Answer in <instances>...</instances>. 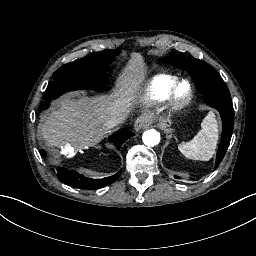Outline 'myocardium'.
Here are the masks:
<instances>
[{
	"mask_svg": "<svg viewBox=\"0 0 256 256\" xmlns=\"http://www.w3.org/2000/svg\"><path fill=\"white\" fill-rule=\"evenodd\" d=\"M182 85H186L188 88V94L184 99H180L178 92ZM194 98V91L191 83L188 80L178 81L172 88L168 98L164 102L162 110L167 111L169 114L176 113L188 107ZM147 107H151V104H145Z\"/></svg>",
	"mask_w": 256,
	"mask_h": 256,
	"instance_id": "myocardium-1",
	"label": "myocardium"
}]
</instances>
